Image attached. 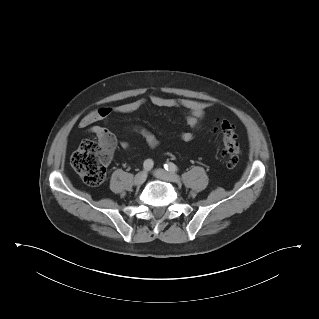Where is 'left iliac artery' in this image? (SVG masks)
<instances>
[{
	"mask_svg": "<svg viewBox=\"0 0 319 319\" xmlns=\"http://www.w3.org/2000/svg\"><path fill=\"white\" fill-rule=\"evenodd\" d=\"M164 168L170 172H176L178 170L177 166L172 162L164 164Z\"/></svg>",
	"mask_w": 319,
	"mask_h": 319,
	"instance_id": "44dca946",
	"label": "left iliac artery"
}]
</instances>
